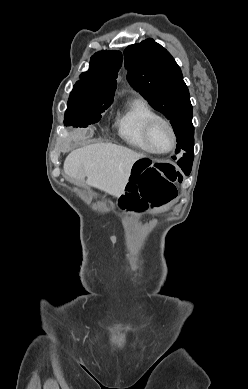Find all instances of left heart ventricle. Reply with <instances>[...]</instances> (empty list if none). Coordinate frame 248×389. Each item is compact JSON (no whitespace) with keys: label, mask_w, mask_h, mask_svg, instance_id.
<instances>
[{"label":"left heart ventricle","mask_w":248,"mask_h":389,"mask_svg":"<svg viewBox=\"0 0 248 389\" xmlns=\"http://www.w3.org/2000/svg\"><path fill=\"white\" fill-rule=\"evenodd\" d=\"M151 145L156 150H167L170 147V138L167 128L157 124L151 133Z\"/></svg>","instance_id":"left-heart-ventricle-1"}]
</instances>
